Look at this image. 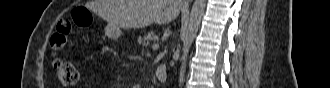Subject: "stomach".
<instances>
[{"instance_id":"1","label":"stomach","mask_w":330,"mask_h":88,"mask_svg":"<svg viewBox=\"0 0 330 88\" xmlns=\"http://www.w3.org/2000/svg\"><path fill=\"white\" fill-rule=\"evenodd\" d=\"M115 27H117V26H114V25H109V26H108V29L110 30V34H109V36H112V35H113L112 30H113Z\"/></svg>"}]
</instances>
